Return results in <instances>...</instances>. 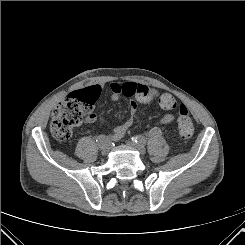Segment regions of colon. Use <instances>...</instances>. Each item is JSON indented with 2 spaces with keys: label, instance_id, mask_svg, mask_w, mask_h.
<instances>
[{
  "label": "colon",
  "instance_id": "obj_1",
  "mask_svg": "<svg viewBox=\"0 0 245 245\" xmlns=\"http://www.w3.org/2000/svg\"><path fill=\"white\" fill-rule=\"evenodd\" d=\"M100 93L98 86H92L77 90L60 102L52 113L50 130L52 136L58 141L68 140L73 129L79 126L85 115L89 113ZM153 95L149 88L139 87L137 89V99L141 103H148ZM178 131L183 139L192 137L194 126L184 105L178 107Z\"/></svg>",
  "mask_w": 245,
  "mask_h": 245
}]
</instances>
